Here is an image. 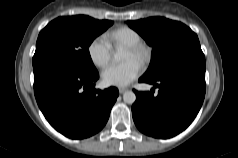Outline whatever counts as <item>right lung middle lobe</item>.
<instances>
[{
  "label": "right lung middle lobe",
  "mask_w": 238,
  "mask_h": 158,
  "mask_svg": "<svg viewBox=\"0 0 238 158\" xmlns=\"http://www.w3.org/2000/svg\"><path fill=\"white\" fill-rule=\"evenodd\" d=\"M112 24L85 15L58 17L40 32L33 61L52 57L85 74L95 73L88 47Z\"/></svg>",
  "instance_id": "1"
}]
</instances>
